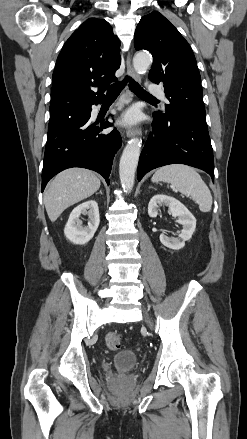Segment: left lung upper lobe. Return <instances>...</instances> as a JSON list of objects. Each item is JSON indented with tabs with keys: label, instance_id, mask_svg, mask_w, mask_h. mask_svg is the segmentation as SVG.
Returning a JSON list of instances; mask_svg holds the SVG:
<instances>
[{
	"label": "left lung upper lobe",
	"instance_id": "1",
	"mask_svg": "<svg viewBox=\"0 0 247 439\" xmlns=\"http://www.w3.org/2000/svg\"><path fill=\"white\" fill-rule=\"evenodd\" d=\"M136 50H148L154 60L149 79L164 85L170 104L165 112H155L168 119L192 117L206 123L201 77L193 51L178 30L159 12L141 18L134 35Z\"/></svg>",
	"mask_w": 247,
	"mask_h": 439
}]
</instances>
